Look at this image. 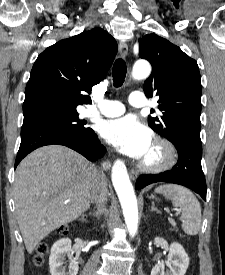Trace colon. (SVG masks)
Segmentation results:
<instances>
[{
	"label": "colon",
	"instance_id": "obj_1",
	"mask_svg": "<svg viewBox=\"0 0 225 275\" xmlns=\"http://www.w3.org/2000/svg\"><path fill=\"white\" fill-rule=\"evenodd\" d=\"M68 229L64 228L62 230V233H67ZM48 250V246L46 243L42 242L38 244L36 255L34 256V263L36 265H41L44 261V255Z\"/></svg>",
	"mask_w": 225,
	"mask_h": 275
}]
</instances>
